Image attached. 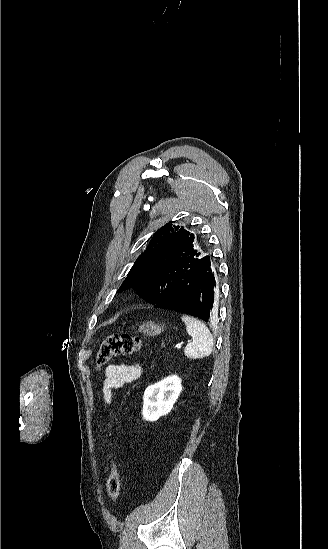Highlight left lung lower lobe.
<instances>
[{
	"label": "left lung lower lobe",
	"mask_w": 328,
	"mask_h": 549,
	"mask_svg": "<svg viewBox=\"0 0 328 549\" xmlns=\"http://www.w3.org/2000/svg\"><path fill=\"white\" fill-rule=\"evenodd\" d=\"M217 286L209 256H204L183 276L174 291L154 307L177 311L212 322Z\"/></svg>",
	"instance_id": "1"
}]
</instances>
